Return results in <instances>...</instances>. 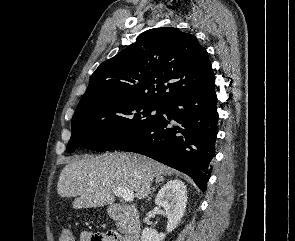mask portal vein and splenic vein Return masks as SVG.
Returning a JSON list of instances; mask_svg holds the SVG:
<instances>
[{
    "mask_svg": "<svg viewBox=\"0 0 295 241\" xmlns=\"http://www.w3.org/2000/svg\"><path fill=\"white\" fill-rule=\"evenodd\" d=\"M115 196L121 197L125 202H131L134 199V192L123 187L114 189Z\"/></svg>",
    "mask_w": 295,
    "mask_h": 241,
    "instance_id": "obj_1",
    "label": "portal vein and splenic vein"
}]
</instances>
